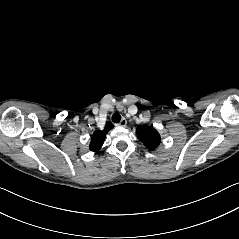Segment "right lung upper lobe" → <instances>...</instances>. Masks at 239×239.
<instances>
[{"instance_id": "right-lung-upper-lobe-1", "label": "right lung upper lobe", "mask_w": 239, "mask_h": 239, "mask_svg": "<svg viewBox=\"0 0 239 239\" xmlns=\"http://www.w3.org/2000/svg\"><path fill=\"white\" fill-rule=\"evenodd\" d=\"M113 124L110 123V122H107L104 130H98V131H95L94 134L92 135V138H91V142H90V146H89V149L91 151H98L103 143H104V139H105V136L106 134L109 132V130H111L113 128Z\"/></svg>"}]
</instances>
